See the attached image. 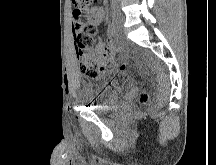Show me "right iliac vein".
<instances>
[{
  "label": "right iliac vein",
  "mask_w": 216,
  "mask_h": 165,
  "mask_svg": "<svg viewBox=\"0 0 216 165\" xmlns=\"http://www.w3.org/2000/svg\"><path fill=\"white\" fill-rule=\"evenodd\" d=\"M112 20H113V23L115 25L117 32H120L121 28H122L123 21H124L122 15L118 12H114L112 15Z\"/></svg>",
  "instance_id": "obj_1"
}]
</instances>
